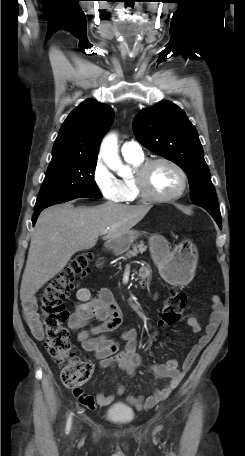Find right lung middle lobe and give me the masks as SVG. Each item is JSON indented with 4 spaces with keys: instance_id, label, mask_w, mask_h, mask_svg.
<instances>
[{
    "instance_id": "1",
    "label": "right lung middle lobe",
    "mask_w": 245,
    "mask_h": 456,
    "mask_svg": "<svg viewBox=\"0 0 245 456\" xmlns=\"http://www.w3.org/2000/svg\"><path fill=\"white\" fill-rule=\"evenodd\" d=\"M97 157L69 158L49 164L34 210L79 197L102 198L95 182Z\"/></svg>"
}]
</instances>
